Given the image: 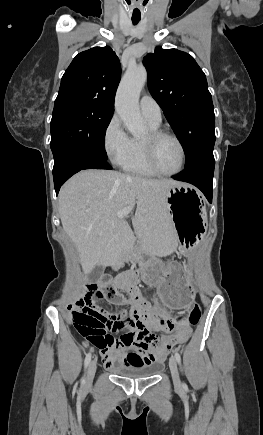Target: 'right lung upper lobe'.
I'll use <instances>...</instances> for the list:
<instances>
[{"label": "right lung upper lobe", "instance_id": "right-lung-upper-lobe-1", "mask_svg": "<svg viewBox=\"0 0 263 435\" xmlns=\"http://www.w3.org/2000/svg\"><path fill=\"white\" fill-rule=\"evenodd\" d=\"M120 75L119 59L109 46L81 52L65 71L54 106L85 103L114 110Z\"/></svg>", "mask_w": 263, "mask_h": 435}]
</instances>
